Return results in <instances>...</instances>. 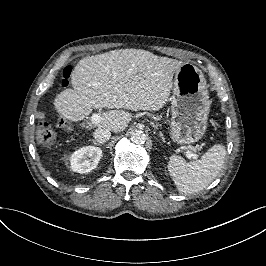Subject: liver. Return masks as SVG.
I'll list each match as a JSON object with an SVG mask.
<instances>
[{"label":"liver","mask_w":266,"mask_h":266,"mask_svg":"<svg viewBox=\"0 0 266 266\" xmlns=\"http://www.w3.org/2000/svg\"><path fill=\"white\" fill-rule=\"evenodd\" d=\"M182 62L142 49H115L80 59L71 72L74 89L60 90L52 99L59 118L81 122L93 108H112L100 115L98 129L125 131L133 115L127 111L157 112L168 104L174 75Z\"/></svg>","instance_id":"1"}]
</instances>
